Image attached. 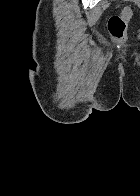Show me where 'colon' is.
<instances>
[{
	"label": "colon",
	"mask_w": 140,
	"mask_h": 196,
	"mask_svg": "<svg viewBox=\"0 0 140 196\" xmlns=\"http://www.w3.org/2000/svg\"><path fill=\"white\" fill-rule=\"evenodd\" d=\"M132 10L129 7H121L117 13L108 19V30L113 42L121 46L127 39V27L132 18Z\"/></svg>",
	"instance_id": "obj_1"
}]
</instances>
